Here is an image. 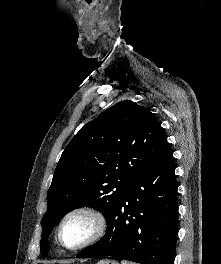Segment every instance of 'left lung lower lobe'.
Returning a JSON list of instances; mask_svg holds the SVG:
<instances>
[{"label": "left lung lower lobe", "instance_id": "left-lung-lower-lobe-1", "mask_svg": "<svg viewBox=\"0 0 221 264\" xmlns=\"http://www.w3.org/2000/svg\"><path fill=\"white\" fill-rule=\"evenodd\" d=\"M177 215L175 166L167 142L106 219L104 237L76 257L113 256L141 264H174Z\"/></svg>", "mask_w": 221, "mask_h": 264}]
</instances>
